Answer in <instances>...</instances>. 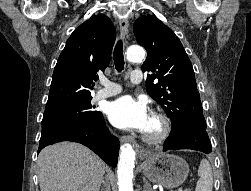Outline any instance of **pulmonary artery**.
<instances>
[{"mask_svg":"<svg viewBox=\"0 0 251 191\" xmlns=\"http://www.w3.org/2000/svg\"><path fill=\"white\" fill-rule=\"evenodd\" d=\"M142 79L143 74L140 72L139 69L134 70L130 74V80L132 83L138 84L142 81ZM99 85L100 88L95 94V98L97 99L108 98L119 94L122 91V87L119 84L110 82L106 78H101L99 80Z\"/></svg>","mask_w":251,"mask_h":191,"instance_id":"pulmonary-artery-1","label":"pulmonary artery"}]
</instances>
